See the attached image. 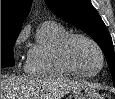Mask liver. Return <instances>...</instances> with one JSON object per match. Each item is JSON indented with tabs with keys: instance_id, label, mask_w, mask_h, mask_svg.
<instances>
[{
	"instance_id": "obj_1",
	"label": "liver",
	"mask_w": 115,
	"mask_h": 99,
	"mask_svg": "<svg viewBox=\"0 0 115 99\" xmlns=\"http://www.w3.org/2000/svg\"><path fill=\"white\" fill-rule=\"evenodd\" d=\"M81 86L62 76H1V99H61Z\"/></svg>"
}]
</instances>
